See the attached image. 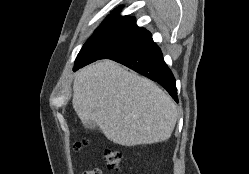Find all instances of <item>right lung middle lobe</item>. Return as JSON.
Masks as SVG:
<instances>
[{"instance_id":"right-lung-middle-lobe-1","label":"right lung middle lobe","mask_w":249,"mask_h":174,"mask_svg":"<svg viewBox=\"0 0 249 174\" xmlns=\"http://www.w3.org/2000/svg\"><path fill=\"white\" fill-rule=\"evenodd\" d=\"M150 36L149 31L136 26H118L95 31L77 55L73 70L138 47L148 41Z\"/></svg>"}]
</instances>
